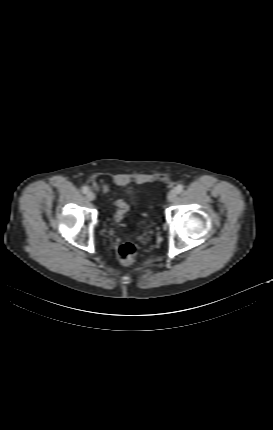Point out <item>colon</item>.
<instances>
[{
	"label": "colon",
	"instance_id": "obj_1",
	"mask_svg": "<svg viewBox=\"0 0 273 430\" xmlns=\"http://www.w3.org/2000/svg\"><path fill=\"white\" fill-rule=\"evenodd\" d=\"M116 212L114 219L116 222H121L128 210V206L124 201L118 200L115 202ZM118 258L124 265H132L136 261L137 248L133 243L127 242L118 248Z\"/></svg>",
	"mask_w": 273,
	"mask_h": 430
}]
</instances>
